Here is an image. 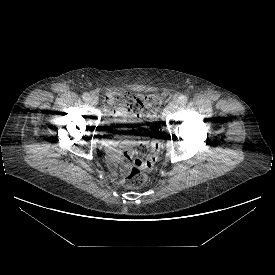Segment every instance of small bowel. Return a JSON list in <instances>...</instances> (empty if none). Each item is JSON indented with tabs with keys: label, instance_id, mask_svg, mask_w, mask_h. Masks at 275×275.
Segmentation results:
<instances>
[{
	"label": "small bowel",
	"instance_id": "obj_1",
	"mask_svg": "<svg viewBox=\"0 0 275 275\" xmlns=\"http://www.w3.org/2000/svg\"><path fill=\"white\" fill-rule=\"evenodd\" d=\"M137 99L130 95L110 92L105 98L106 113L109 117L116 120L136 121L140 118V113L133 108V101ZM108 147V162L112 171L113 177L120 180L123 173L129 169L128 159L132 158L134 153L129 148L132 142L128 140L119 141L116 139H109L106 141ZM120 148H125L124 158L121 165H118L119 156L118 151Z\"/></svg>",
	"mask_w": 275,
	"mask_h": 275
}]
</instances>
